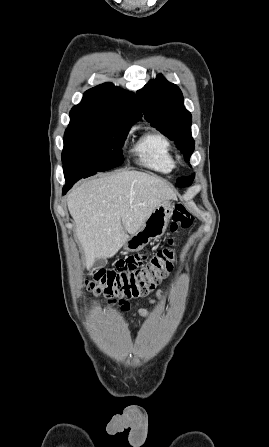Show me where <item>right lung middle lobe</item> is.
Masks as SVG:
<instances>
[{"label":"right lung middle lobe","mask_w":269,"mask_h":447,"mask_svg":"<svg viewBox=\"0 0 269 447\" xmlns=\"http://www.w3.org/2000/svg\"><path fill=\"white\" fill-rule=\"evenodd\" d=\"M133 124L71 118L64 134V168L80 167L86 173L121 165L124 161L121 148Z\"/></svg>","instance_id":"1"}]
</instances>
